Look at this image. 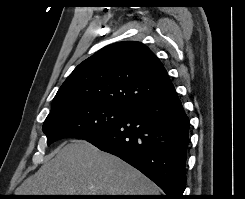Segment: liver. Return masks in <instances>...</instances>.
Here are the masks:
<instances>
[{
  "mask_svg": "<svg viewBox=\"0 0 245 199\" xmlns=\"http://www.w3.org/2000/svg\"><path fill=\"white\" fill-rule=\"evenodd\" d=\"M16 195H159L158 187L120 158L72 140L15 190Z\"/></svg>",
  "mask_w": 245,
  "mask_h": 199,
  "instance_id": "6515ba94",
  "label": "liver"
}]
</instances>
